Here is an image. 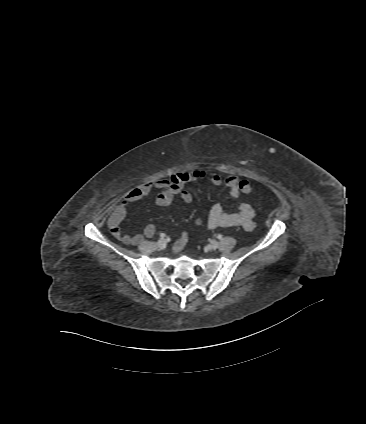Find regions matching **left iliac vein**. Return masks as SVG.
<instances>
[{"label": "left iliac vein", "mask_w": 366, "mask_h": 424, "mask_svg": "<svg viewBox=\"0 0 366 424\" xmlns=\"http://www.w3.org/2000/svg\"><path fill=\"white\" fill-rule=\"evenodd\" d=\"M218 246H219L218 241H216V240L211 241V243H210V248L211 249L215 250V249L218 248Z\"/></svg>", "instance_id": "obj_1"}]
</instances>
